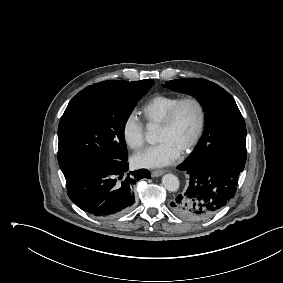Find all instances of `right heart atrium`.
Instances as JSON below:
<instances>
[{
	"label": "right heart atrium",
	"mask_w": 283,
	"mask_h": 283,
	"mask_svg": "<svg viewBox=\"0 0 283 283\" xmlns=\"http://www.w3.org/2000/svg\"><path fill=\"white\" fill-rule=\"evenodd\" d=\"M121 133L124 142L131 149H139L144 144V125L134 113H130L124 119Z\"/></svg>",
	"instance_id": "1"
}]
</instances>
